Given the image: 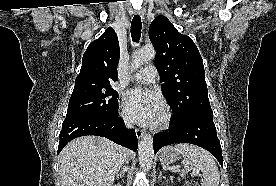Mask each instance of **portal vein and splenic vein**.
<instances>
[{
	"instance_id": "18ae733b",
	"label": "portal vein and splenic vein",
	"mask_w": 276,
	"mask_h": 186,
	"mask_svg": "<svg viewBox=\"0 0 276 186\" xmlns=\"http://www.w3.org/2000/svg\"><path fill=\"white\" fill-rule=\"evenodd\" d=\"M199 173V171L198 170H196L195 172H194V175H197Z\"/></svg>"
}]
</instances>
